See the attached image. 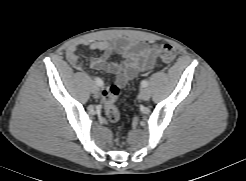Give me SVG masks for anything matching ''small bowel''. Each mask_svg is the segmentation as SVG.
Segmentation results:
<instances>
[{"instance_id":"1","label":"small bowel","mask_w":246,"mask_h":181,"mask_svg":"<svg viewBox=\"0 0 246 181\" xmlns=\"http://www.w3.org/2000/svg\"><path fill=\"white\" fill-rule=\"evenodd\" d=\"M84 46H87L92 52L101 53L100 57L90 59L91 68L116 75V83L119 86H124L138 73L148 71L155 65V47L147 43L129 42L124 39L114 43L106 41L77 42L68 47L67 59L78 71L82 70V59L78 49ZM114 53L122 56L121 63L110 60Z\"/></svg>"}]
</instances>
